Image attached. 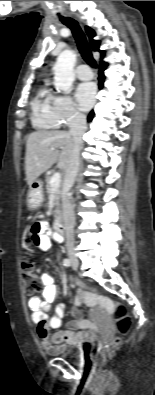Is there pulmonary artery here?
<instances>
[{"label": "pulmonary artery", "instance_id": "obj_1", "mask_svg": "<svg viewBox=\"0 0 155 395\" xmlns=\"http://www.w3.org/2000/svg\"><path fill=\"white\" fill-rule=\"evenodd\" d=\"M76 75L81 80H90L93 77L91 69L85 64H81L76 68Z\"/></svg>", "mask_w": 155, "mask_h": 395}]
</instances>
